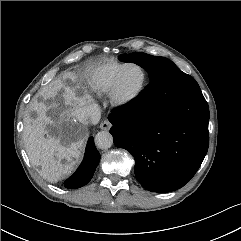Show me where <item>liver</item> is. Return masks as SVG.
I'll use <instances>...</instances> for the list:
<instances>
[{
    "label": "liver",
    "mask_w": 241,
    "mask_h": 241,
    "mask_svg": "<svg viewBox=\"0 0 241 241\" xmlns=\"http://www.w3.org/2000/svg\"><path fill=\"white\" fill-rule=\"evenodd\" d=\"M41 95L44 100L34 99L30 105L35 117L26 115L23 136L31 164L52 183L69 175L80 158L87 137L82 109L90 100L61 80L52 82ZM48 126L55 127L58 135H50Z\"/></svg>",
    "instance_id": "6515ba94"
}]
</instances>
